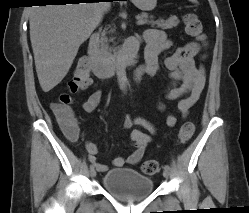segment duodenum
I'll return each mask as SVG.
<instances>
[{"instance_id": "1", "label": "duodenum", "mask_w": 249, "mask_h": 213, "mask_svg": "<svg viewBox=\"0 0 249 213\" xmlns=\"http://www.w3.org/2000/svg\"><path fill=\"white\" fill-rule=\"evenodd\" d=\"M99 35L93 33L89 39V45L85 61L92 72L99 78H109L121 66H130L135 63L139 40L135 37L129 39L123 47L118 59L111 61L104 58L99 51ZM140 73L136 74V79L140 78Z\"/></svg>"}]
</instances>
